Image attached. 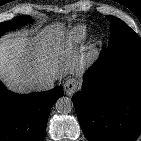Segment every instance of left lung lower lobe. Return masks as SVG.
Listing matches in <instances>:
<instances>
[{
    "label": "left lung lower lobe",
    "instance_id": "1",
    "mask_svg": "<svg viewBox=\"0 0 141 141\" xmlns=\"http://www.w3.org/2000/svg\"><path fill=\"white\" fill-rule=\"evenodd\" d=\"M72 101L89 141H134L141 132V46L104 48Z\"/></svg>",
    "mask_w": 141,
    "mask_h": 141
}]
</instances>
